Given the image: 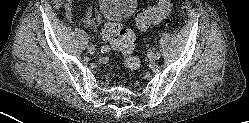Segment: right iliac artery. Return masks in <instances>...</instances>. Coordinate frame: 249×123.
I'll return each instance as SVG.
<instances>
[{
  "mask_svg": "<svg viewBox=\"0 0 249 123\" xmlns=\"http://www.w3.org/2000/svg\"><path fill=\"white\" fill-rule=\"evenodd\" d=\"M109 50H110V48L108 46H102L101 47V52L102 53H107V52H109Z\"/></svg>",
  "mask_w": 249,
  "mask_h": 123,
  "instance_id": "obj_1",
  "label": "right iliac artery"
}]
</instances>
